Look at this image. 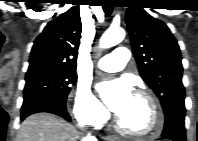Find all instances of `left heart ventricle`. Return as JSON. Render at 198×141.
Wrapping results in <instances>:
<instances>
[{"label":"left heart ventricle","instance_id":"1","mask_svg":"<svg viewBox=\"0 0 198 141\" xmlns=\"http://www.w3.org/2000/svg\"><path fill=\"white\" fill-rule=\"evenodd\" d=\"M118 116L124 126L137 132H145L152 127L150 105L135 94Z\"/></svg>","mask_w":198,"mask_h":141}]
</instances>
